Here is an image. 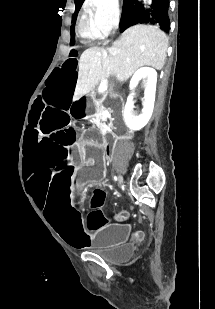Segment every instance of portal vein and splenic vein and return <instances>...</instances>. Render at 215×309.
<instances>
[{"label": "portal vein and splenic vein", "instance_id": "obj_1", "mask_svg": "<svg viewBox=\"0 0 215 309\" xmlns=\"http://www.w3.org/2000/svg\"><path fill=\"white\" fill-rule=\"evenodd\" d=\"M104 90H107L106 80H104L103 84H101V86H99L98 92H104Z\"/></svg>", "mask_w": 215, "mask_h": 309}]
</instances>
